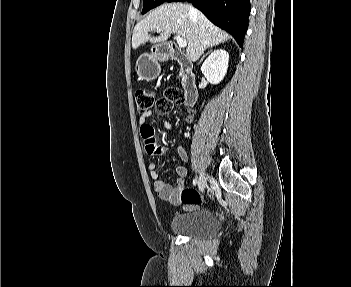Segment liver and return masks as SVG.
Listing matches in <instances>:
<instances>
[{
    "label": "liver",
    "mask_w": 351,
    "mask_h": 287,
    "mask_svg": "<svg viewBox=\"0 0 351 287\" xmlns=\"http://www.w3.org/2000/svg\"><path fill=\"white\" fill-rule=\"evenodd\" d=\"M185 3H167L156 8L139 21L133 30L132 48L150 43L165 42L171 34H177L187 41L186 53L189 59L197 60L206 48L224 43L230 35L213 25L200 11ZM160 33L152 37L150 31Z\"/></svg>",
    "instance_id": "obj_1"
}]
</instances>
